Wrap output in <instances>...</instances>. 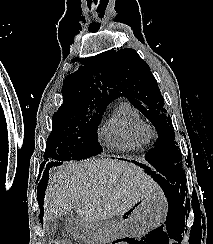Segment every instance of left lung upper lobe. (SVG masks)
Masks as SVG:
<instances>
[{
  "mask_svg": "<svg viewBox=\"0 0 213 244\" xmlns=\"http://www.w3.org/2000/svg\"><path fill=\"white\" fill-rule=\"evenodd\" d=\"M96 81L104 98L110 103L117 97L126 96L155 126L158 139L154 148L146 154L164 170V175L174 188H186L182 156L174 142L170 115L165 114L164 98L148 64L131 48H118L101 55L97 62Z\"/></svg>",
  "mask_w": 213,
  "mask_h": 244,
  "instance_id": "obj_1",
  "label": "left lung upper lobe"
}]
</instances>
